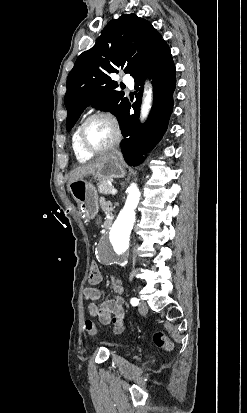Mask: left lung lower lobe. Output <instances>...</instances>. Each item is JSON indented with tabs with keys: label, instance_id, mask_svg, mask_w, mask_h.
I'll list each match as a JSON object with an SVG mask.
<instances>
[{
	"label": "left lung lower lobe",
	"instance_id": "obj_1",
	"mask_svg": "<svg viewBox=\"0 0 247 413\" xmlns=\"http://www.w3.org/2000/svg\"><path fill=\"white\" fill-rule=\"evenodd\" d=\"M152 79L154 101L149 118L144 126H141L139 109L141 104L144 79ZM135 88L139 90L137 100L132 107L134 115H130L131 104L126 109L125 117L121 123L124 139L121 143L125 160L130 165H136L143 161L142 154L149 152L162 138L168 125L173 110V93L176 87L175 65L169 47L158 51L134 77Z\"/></svg>",
	"mask_w": 247,
	"mask_h": 413
}]
</instances>
